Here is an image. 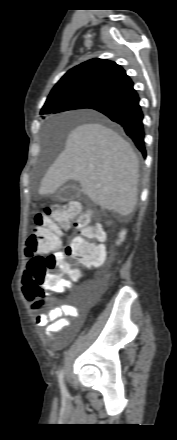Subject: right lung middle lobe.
<instances>
[{"mask_svg": "<svg viewBox=\"0 0 177 440\" xmlns=\"http://www.w3.org/2000/svg\"><path fill=\"white\" fill-rule=\"evenodd\" d=\"M96 98L79 92H62L47 98L41 110V115L58 113L67 110L83 109Z\"/></svg>", "mask_w": 177, "mask_h": 440, "instance_id": "1", "label": "right lung middle lobe"}]
</instances>
